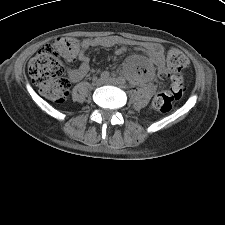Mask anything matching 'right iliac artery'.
I'll list each match as a JSON object with an SVG mask.
<instances>
[{
  "mask_svg": "<svg viewBox=\"0 0 225 225\" xmlns=\"http://www.w3.org/2000/svg\"><path fill=\"white\" fill-rule=\"evenodd\" d=\"M109 76H110V73H109L108 71H104V72H102L101 75H100V77H101L102 79H107V78H109Z\"/></svg>",
  "mask_w": 225,
  "mask_h": 225,
  "instance_id": "right-iliac-artery-1",
  "label": "right iliac artery"
}]
</instances>
